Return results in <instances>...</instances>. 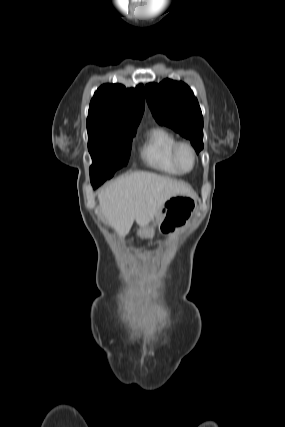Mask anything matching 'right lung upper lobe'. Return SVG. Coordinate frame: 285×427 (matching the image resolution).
<instances>
[{"label": "right lung upper lobe", "mask_w": 285, "mask_h": 427, "mask_svg": "<svg viewBox=\"0 0 285 427\" xmlns=\"http://www.w3.org/2000/svg\"><path fill=\"white\" fill-rule=\"evenodd\" d=\"M144 105L143 85L126 89L121 84H104L90 102L87 126H138Z\"/></svg>", "instance_id": "cb5924a9"}]
</instances>
